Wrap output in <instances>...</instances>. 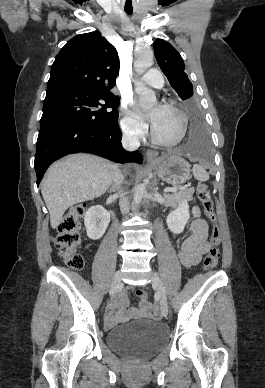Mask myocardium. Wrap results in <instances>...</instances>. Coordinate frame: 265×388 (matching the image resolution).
<instances>
[{"instance_id": "f54148a6", "label": "myocardium", "mask_w": 265, "mask_h": 388, "mask_svg": "<svg viewBox=\"0 0 265 388\" xmlns=\"http://www.w3.org/2000/svg\"><path fill=\"white\" fill-rule=\"evenodd\" d=\"M164 108L178 116L180 121L178 133L172 138H164L157 132L155 124H153L151 129V135L153 140L158 144L166 147H172L179 144L185 138L188 128V118L183 110L172 104H165Z\"/></svg>"}]
</instances>
